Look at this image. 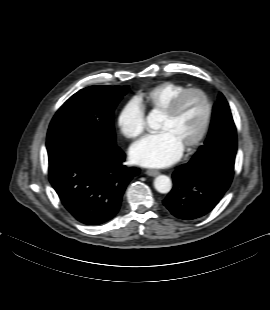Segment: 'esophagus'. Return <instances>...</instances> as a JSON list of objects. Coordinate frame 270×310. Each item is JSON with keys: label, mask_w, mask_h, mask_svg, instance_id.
Wrapping results in <instances>:
<instances>
[{"label": "esophagus", "mask_w": 270, "mask_h": 310, "mask_svg": "<svg viewBox=\"0 0 270 310\" xmlns=\"http://www.w3.org/2000/svg\"><path fill=\"white\" fill-rule=\"evenodd\" d=\"M146 174H147L148 176L154 177V176L159 175L160 172H159L158 170L149 169V170L146 171Z\"/></svg>", "instance_id": "34e87169"}]
</instances>
